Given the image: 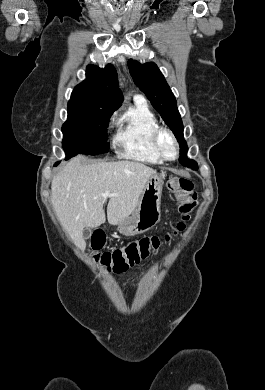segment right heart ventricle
<instances>
[{"instance_id":"e07e8e85","label":"right heart ventricle","mask_w":265,"mask_h":390,"mask_svg":"<svg viewBox=\"0 0 265 390\" xmlns=\"http://www.w3.org/2000/svg\"><path fill=\"white\" fill-rule=\"evenodd\" d=\"M113 144L119 156L125 159L161 164L151 136L159 127L158 120L145 102H137L120 117Z\"/></svg>"}]
</instances>
